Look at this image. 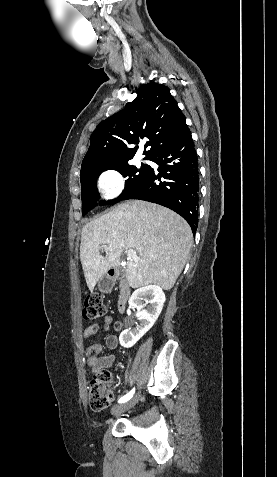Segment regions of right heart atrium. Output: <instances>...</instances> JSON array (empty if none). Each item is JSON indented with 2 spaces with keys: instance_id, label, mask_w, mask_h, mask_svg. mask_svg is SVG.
Listing matches in <instances>:
<instances>
[{
  "instance_id": "d8ad5b80",
  "label": "right heart atrium",
  "mask_w": 277,
  "mask_h": 477,
  "mask_svg": "<svg viewBox=\"0 0 277 477\" xmlns=\"http://www.w3.org/2000/svg\"><path fill=\"white\" fill-rule=\"evenodd\" d=\"M98 186L106 199H113L122 192L124 178L118 170L107 169L99 175Z\"/></svg>"
}]
</instances>
